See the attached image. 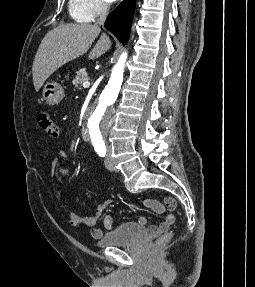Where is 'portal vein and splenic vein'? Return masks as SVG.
Instances as JSON below:
<instances>
[{
    "mask_svg": "<svg viewBox=\"0 0 255 287\" xmlns=\"http://www.w3.org/2000/svg\"><path fill=\"white\" fill-rule=\"evenodd\" d=\"M90 82H83V88H89Z\"/></svg>",
    "mask_w": 255,
    "mask_h": 287,
    "instance_id": "portal-vein-and-splenic-vein-1",
    "label": "portal vein and splenic vein"
}]
</instances>
